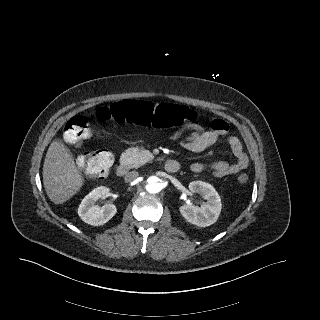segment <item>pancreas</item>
Instances as JSON below:
<instances>
[{
	"instance_id": "obj_1",
	"label": "pancreas",
	"mask_w": 320,
	"mask_h": 320,
	"mask_svg": "<svg viewBox=\"0 0 320 320\" xmlns=\"http://www.w3.org/2000/svg\"><path fill=\"white\" fill-rule=\"evenodd\" d=\"M120 161L128 168H138L147 162V157L145 156V151L133 147L122 153Z\"/></svg>"
}]
</instances>
